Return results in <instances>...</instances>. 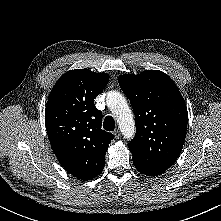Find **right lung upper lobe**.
<instances>
[{"mask_svg": "<svg viewBox=\"0 0 221 221\" xmlns=\"http://www.w3.org/2000/svg\"><path fill=\"white\" fill-rule=\"evenodd\" d=\"M108 80L106 73L70 70L56 82L47 101L45 125L51 147L64 169L82 180L102 172L114 138L101 129L102 113L94 105Z\"/></svg>", "mask_w": 221, "mask_h": 221, "instance_id": "right-lung-upper-lobe-1", "label": "right lung upper lobe"}]
</instances>
